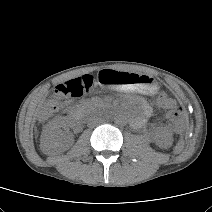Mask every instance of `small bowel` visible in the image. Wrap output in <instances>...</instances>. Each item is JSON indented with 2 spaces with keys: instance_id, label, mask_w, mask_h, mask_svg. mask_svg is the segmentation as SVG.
I'll list each match as a JSON object with an SVG mask.
<instances>
[{
  "instance_id": "c3829d8e",
  "label": "small bowel",
  "mask_w": 212,
  "mask_h": 212,
  "mask_svg": "<svg viewBox=\"0 0 212 212\" xmlns=\"http://www.w3.org/2000/svg\"><path fill=\"white\" fill-rule=\"evenodd\" d=\"M144 112L147 114L149 113V107L147 105H144Z\"/></svg>"
}]
</instances>
